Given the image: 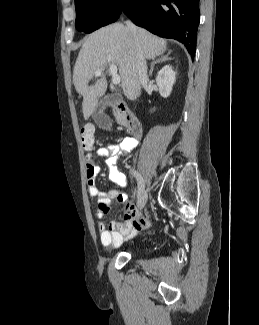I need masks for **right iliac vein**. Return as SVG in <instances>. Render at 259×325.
Masks as SVG:
<instances>
[{"mask_svg": "<svg viewBox=\"0 0 259 325\" xmlns=\"http://www.w3.org/2000/svg\"><path fill=\"white\" fill-rule=\"evenodd\" d=\"M142 180V193L139 194L138 196V207L139 209H143L146 202H147V192L145 190V186H144V183H143V179L141 178Z\"/></svg>", "mask_w": 259, "mask_h": 325, "instance_id": "63e3f726", "label": "right iliac vein"}]
</instances>
